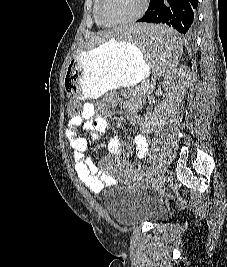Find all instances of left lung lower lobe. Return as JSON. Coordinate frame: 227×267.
<instances>
[{
	"instance_id": "1",
	"label": "left lung lower lobe",
	"mask_w": 227,
	"mask_h": 267,
	"mask_svg": "<svg viewBox=\"0 0 227 267\" xmlns=\"http://www.w3.org/2000/svg\"><path fill=\"white\" fill-rule=\"evenodd\" d=\"M198 0H150L148 11L138 22L164 24L191 37L196 28Z\"/></svg>"
}]
</instances>
